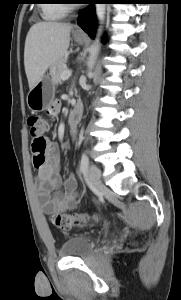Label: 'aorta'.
Masks as SVG:
<instances>
[{"mask_svg":"<svg viewBox=\"0 0 181 300\" xmlns=\"http://www.w3.org/2000/svg\"><path fill=\"white\" fill-rule=\"evenodd\" d=\"M96 17L98 21V26L96 30V35L93 44L89 48V58L87 60L88 75L92 74L100 46H101V37L103 33V24L105 20L106 13V4L99 3L95 6Z\"/></svg>","mask_w":181,"mask_h":300,"instance_id":"762f6f07","label":"aorta"}]
</instances>
